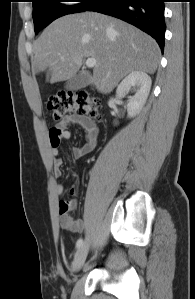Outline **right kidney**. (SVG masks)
<instances>
[{
    "instance_id": "right-kidney-1",
    "label": "right kidney",
    "mask_w": 195,
    "mask_h": 299,
    "mask_svg": "<svg viewBox=\"0 0 195 299\" xmlns=\"http://www.w3.org/2000/svg\"><path fill=\"white\" fill-rule=\"evenodd\" d=\"M151 78L143 71H133L127 75L118 85L116 95L125 97L128 90L133 89L136 93L130 97L127 104L128 117L132 118L140 113L144 107L151 89Z\"/></svg>"
}]
</instances>
